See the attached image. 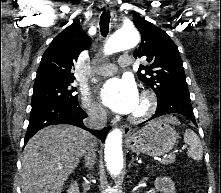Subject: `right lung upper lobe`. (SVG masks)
<instances>
[{
  "label": "right lung upper lobe",
  "mask_w": 221,
  "mask_h": 193,
  "mask_svg": "<svg viewBox=\"0 0 221 193\" xmlns=\"http://www.w3.org/2000/svg\"><path fill=\"white\" fill-rule=\"evenodd\" d=\"M91 38L82 30L79 21L65 28L57 35L44 52L34 85L73 81L71 69L79 54L88 49Z\"/></svg>",
  "instance_id": "1"
}]
</instances>
